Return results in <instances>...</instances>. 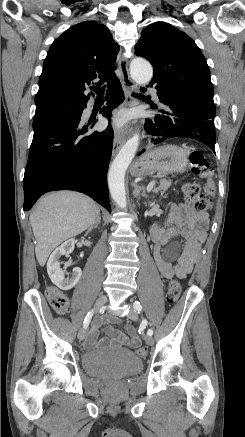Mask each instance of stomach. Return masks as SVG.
<instances>
[{
    "label": "stomach",
    "mask_w": 245,
    "mask_h": 437,
    "mask_svg": "<svg viewBox=\"0 0 245 437\" xmlns=\"http://www.w3.org/2000/svg\"><path fill=\"white\" fill-rule=\"evenodd\" d=\"M186 152L176 145H164L140 157L131 169L133 177H144L155 172L162 174L185 171Z\"/></svg>",
    "instance_id": "stomach-1"
}]
</instances>
